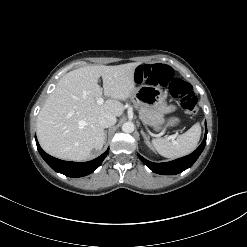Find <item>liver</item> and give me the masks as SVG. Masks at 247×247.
<instances>
[{"label": "liver", "mask_w": 247, "mask_h": 247, "mask_svg": "<svg viewBox=\"0 0 247 247\" xmlns=\"http://www.w3.org/2000/svg\"><path fill=\"white\" fill-rule=\"evenodd\" d=\"M140 63L91 65L68 72L48 96L37 118V137L44 151L65 160L85 161L102 149L101 114L121 116L120 101L133 97L134 73ZM103 79V88L98 84ZM109 99L102 105L97 99Z\"/></svg>", "instance_id": "6515ba94"}]
</instances>
